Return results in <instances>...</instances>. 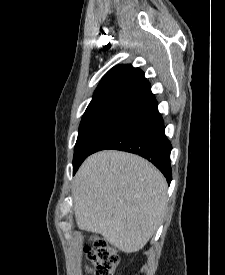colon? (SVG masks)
I'll return each mask as SVG.
<instances>
[{
    "label": "colon",
    "mask_w": 225,
    "mask_h": 275,
    "mask_svg": "<svg viewBox=\"0 0 225 275\" xmlns=\"http://www.w3.org/2000/svg\"><path fill=\"white\" fill-rule=\"evenodd\" d=\"M88 259L93 268L88 269L92 275H113L119 263V256L104 239L93 238L92 245L86 248Z\"/></svg>",
    "instance_id": "obj_1"
}]
</instances>
